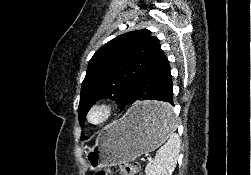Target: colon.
Instances as JSON below:
<instances>
[{
  "label": "colon",
  "instance_id": "5ec220e1",
  "mask_svg": "<svg viewBox=\"0 0 251 175\" xmlns=\"http://www.w3.org/2000/svg\"><path fill=\"white\" fill-rule=\"evenodd\" d=\"M114 173L119 175H143L142 166L137 161L124 162L115 168L101 169L96 175H113Z\"/></svg>",
  "mask_w": 251,
  "mask_h": 175
}]
</instances>
